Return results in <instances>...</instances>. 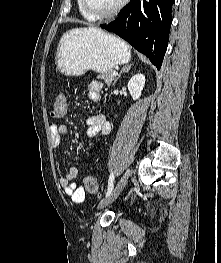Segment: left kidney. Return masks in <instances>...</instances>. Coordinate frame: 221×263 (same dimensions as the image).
<instances>
[{
  "instance_id": "obj_1",
  "label": "left kidney",
  "mask_w": 221,
  "mask_h": 263,
  "mask_svg": "<svg viewBox=\"0 0 221 263\" xmlns=\"http://www.w3.org/2000/svg\"><path fill=\"white\" fill-rule=\"evenodd\" d=\"M144 85H145V76L141 73L134 75L130 79L127 86L133 100H137L140 97Z\"/></svg>"
}]
</instances>
